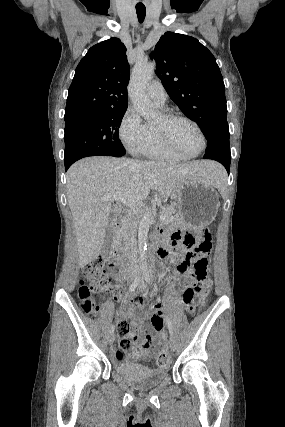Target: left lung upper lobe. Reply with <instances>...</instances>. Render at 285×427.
I'll return each mask as SVG.
<instances>
[{
  "mask_svg": "<svg viewBox=\"0 0 285 427\" xmlns=\"http://www.w3.org/2000/svg\"><path fill=\"white\" fill-rule=\"evenodd\" d=\"M151 57L170 98L206 138L229 131L223 77L206 47L191 36L166 32Z\"/></svg>",
  "mask_w": 285,
  "mask_h": 427,
  "instance_id": "left-lung-upper-lobe-1",
  "label": "left lung upper lobe"
}]
</instances>
